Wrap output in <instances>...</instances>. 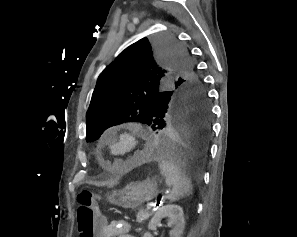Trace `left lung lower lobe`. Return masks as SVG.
<instances>
[{
	"label": "left lung lower lobe",
	"instance_id": "obj_1",
	"mask_svg": "<svg viewBox=\"0 0 297 237\" xmlns=\"http://www.w3.org/2000/svg\"><path fill=\"white\" fill-rule=\"evenodd\" d=\"M211 137V111L208 102L174 103L145 153L196 167L205 159Z\"/></svg>",
	"mask_w": 297,
	"mask_h": 237
}]
</instances>
